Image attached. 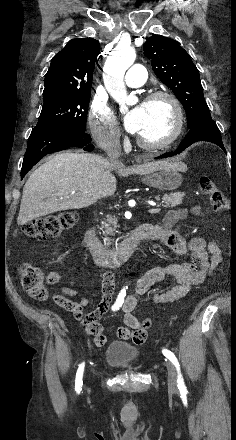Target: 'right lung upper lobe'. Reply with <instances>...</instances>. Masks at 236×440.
I'll return each mask as SVG.
<instances>
[{
	"label": "right lung upper lobe",
	"mask_w": 236,
	"mask_h": 440,
	"mask_svg": "<svg viewBox=\"0 0 236 440\" xmlns=\"http://www.w3.org/2000/svg\"><path fill=\"white\" fill-rule=\"evenodd\" d=\"M100 45L93 38L70 40L51 60L45 76L44 103L91 93Z\"/></svg>",
	"instance_id": "1"
}]
</instances>
